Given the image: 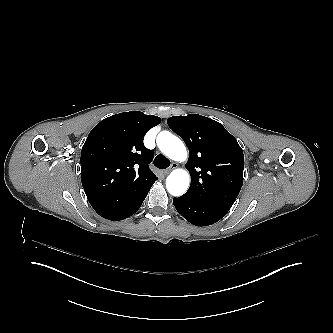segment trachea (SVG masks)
<instances>
[{
    "instance_id": "trachea-1",
    "label": "trachea",
    "mask_w": 333,
    "mask_h": 333,
    "mask_svg": "<svg viewBox=\"0 0 333 333\" xmlns=\"http://www.w3.org/2000/svg\"><path fill=\"white\" fill-rule=\"evenodd\" d=\"M153 163L159 169H166L170 165V161L163 155L156 156Z\"/></svg>"
}]
</instances>
